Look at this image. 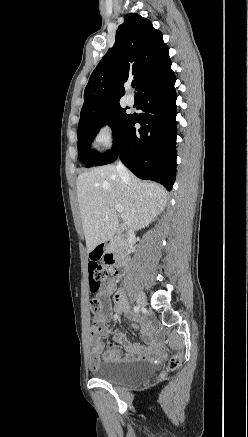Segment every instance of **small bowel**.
I'll return each instance as SVG.
<instances>
[{"instance_id": "small-bowel-1", "label": "small bowel", "mask_w": 248, "mask_h": 437, "mask_svg": "<svg viewBox=\"0 0 248 437\" xmlns=\"http://www.w3.org/2000/svg\"><path fill=\"white\" fill-rule=\"evenodd\" d=\"M113 295L114 302L118 309H126L127 301L124 295L118 291V286L115 280H109L105 285H100L97 291L96 299L109 310L111 301L109 297ZM109 320V314L103 313L98 315L93 323L90 331L91 343H92V355L90 358V365L92 368H96L99 364L100 355H104V359L108 361H130L133 359H145L154 353V346L152 342L153 334L150 331L149 324L146 320L140 319L137 324H134V328H139L145 338L146 343H131L122 333L113 334L112 338L119 342L126 351L123 354L118 346H111L108 350H105V345L102 342L100 336L107 331L106 324Z\"/></svg>"}]
</instances>
